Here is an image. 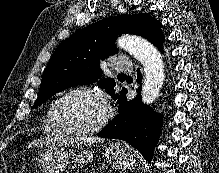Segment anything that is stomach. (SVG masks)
<instances>
[{
    "label": "stomach",
    "instance_id": "0dacf381",
    "mask_svg": "<svg viewBox=\"0 0 219 173\" xmlns=\"http://www.w3.org/2000/svg\"><path fill=\"white\" fill-rule=\"evenodd\" d=\"M106 161L112 168L125 170L137 165L136 154L129 146L113 143L104 149ZM93 159L92 152L85 148L68 150L62 144H47L40 152L37 162L41 173H64L70 161L84 164Z\"/></svg>",
    "mask_w": 219,
    "mask_h": 173
}]
</instances>
